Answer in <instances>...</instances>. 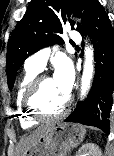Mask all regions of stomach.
<instances>
[{
    "label": "stomach",
    "instance_id": "0dacf381",
    "mask_svg": "<svg viewBox=\"0 0 114 156\" xmlns=\"http://www.w3.org/2000/svg\"><path fill=\"white\" fill-rule=\"evenodd\" d=\"M85 133L86 129L79 124H53L33 143L26 156H67L83 141Z\"/></svg>",
    "mask_w": 114,
    "mask_h": 156
}]
</instances>
